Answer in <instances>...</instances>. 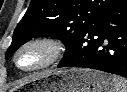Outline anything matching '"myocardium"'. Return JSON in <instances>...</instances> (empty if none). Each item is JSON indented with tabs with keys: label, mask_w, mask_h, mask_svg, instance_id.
<instances>
[{
	"label": "myocardium",
	"mask_w": 127,
	"mask_h": 92,
	"mask_svg": "<svg viewBox=\"0 0 127 92\" xmlns=\"http://www.w3.org/2000/svg\"><path fill=\"white\" fill-rule=\"evenodd\" d=\"M31 47L43 48L47 53L46 59L42 63L34 67L23 68L20 66L18 62V58L23 51ZM65 52H66V45L64 41H62L61 39L49 35L38 36L28 39L27 41L22 43L16 50L13 57V61L18 69L26 73H31V72L40 71L42 69H45L55 64L64 56Z\"/></svg>",
	"instance_id": "myocardium-1"
}]
</instances>
